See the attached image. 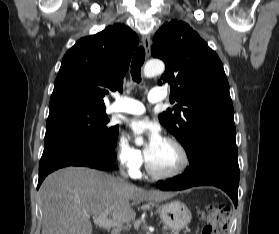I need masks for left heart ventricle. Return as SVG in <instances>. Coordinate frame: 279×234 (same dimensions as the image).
<instances>
[{
    "label": "left heart ventricle",
    "mask_w": 279,
    "mask_h": 234,
    "mask_svg": "<svg viewBox=\"0 0 279 234\" xmlns=\"http://www.w3.org/2000/svg\"><path fill=\"white\" fill-rule=\"evenodd\" d=\"M150 165L158 172H170L180 163V155L174 145L162 141L154 150L147 152Z\"/></svg>",
    "instance_id": "1"
}]
</instances>
